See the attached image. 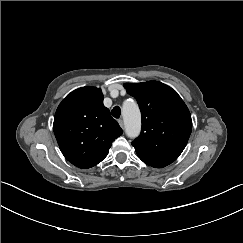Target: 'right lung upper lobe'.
<instances>
[{"label": "right lung upper lobe", "mask_w": 243, "mask_h": 243, "mask_svg": "<svg viewBox=\"0 0 243 243\" xmlns=\"http://www.w3.org/2000/svg\"><path fill=\"white\" fill-rule=\"evenodd\" d=\"M53 130L65 158L83 169L101 162L122 134L103 105L101 89L91 86L74 90L60 103Z\"/></svg>", "instance_id": "1"}]
</instances>
